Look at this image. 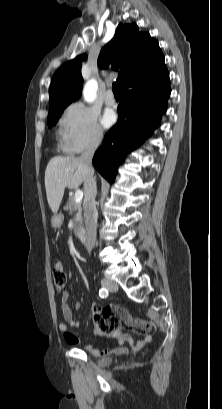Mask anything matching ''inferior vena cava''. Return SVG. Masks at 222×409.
Instances as JSON below:
<instances>
[{"label": "inferior vena cava", "instance_id": "obj_1", "mask_svg": "<svg viewBox=\"0 0 222 409\" xmlns=\"http://www.w3.org/2000/svg\"><path fill=\"white\" fill-rule=\"evenodd\" d=\"M101 139V134L94 137L79 158L87 169V176L84 180V222L86 229V243L89 251L92 250L95 245L98 215L95 201L97 187L96 180L94 178L92 158L101 142Z\"/></svg>", "mask_w": 222, "mask_h": 409}]
</instances>
